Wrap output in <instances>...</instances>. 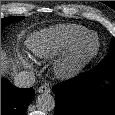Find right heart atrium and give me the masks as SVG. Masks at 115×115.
Listing matches in <instances>:
<instances>
[{"label":"right heart atrium","mask_w":115,"mask_h":115,"mask_svg":"<svg viewBox=\"0 0 115 115\" xmlns=\"http://www.w3.org/2000/svg\"><path fill=\"white\" fill-rule=\"evenodd\" d=\"M19 57H20V60L22 61V63L24 65H26L27 67H31L32 66L30 60L26 56L20 55Z\"/></svg>","instance_id":"right-heart-atrium-1"}]
</instances>
